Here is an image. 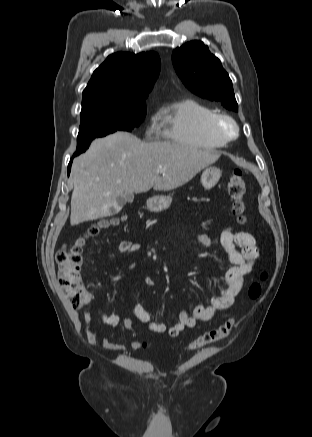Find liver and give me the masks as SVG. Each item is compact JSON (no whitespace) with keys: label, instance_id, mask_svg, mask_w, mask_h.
Here are the masks:
<instances>
[{"label":"liver","instance_id":"1","mask_svg":"<svg viewBox=\"0 0 312 437\" xmlns=\"http://www.w3.org/2000/svg\"><path fill=\"white\" fill-rule=\"evenodd\" d=\"M220 155L175 142L145 143L127 132L95 139L72 164L70 224L109 215L126 194L178 188Z\"/></svg>","mask_w":312,"mask_h":437}]
</instances>
